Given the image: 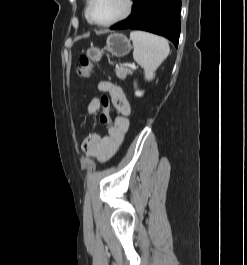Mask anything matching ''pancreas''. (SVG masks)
I'll return each instance as SVG.
<instances>
[{
	"mask_svg": "<svg viewBox=\"0 0 247 265\" xmlns=\"http://www.w3.org/2000/svg\"><path fill=\"white\" fill-rule=\"evenodd\" d=\"M115 72L119 79L125 80L127 75L132 73V70L126 67L120 66V67H116Z\"/></svg>",
	"mask_w": 247,
	"mask_h": 265,
	"instance_id": "cf45deb5",
	"label": "pancreas"
}]
</instances>
